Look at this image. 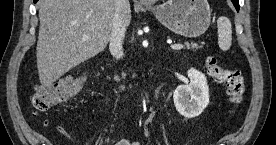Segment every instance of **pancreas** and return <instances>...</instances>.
Returning <instances> with one entry per match:
<instances>
[{"label": "pancreas", "instance_id": "obj_1", "mask_svg": "<svg viewBox=\"0 0 276 145\" xmlns=\"http://www.w3.org/2000/svg\"><path fill=\"white\" fill-rule=\"evenodd\" d=\"M185 45L188 49H190V48L197 49L198 48V46L196 44H193V43L190 45L189 43L186 42Z\"/></svg>", "mask_w": 276, "mask_h": 145}]
</instances>
